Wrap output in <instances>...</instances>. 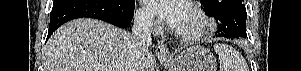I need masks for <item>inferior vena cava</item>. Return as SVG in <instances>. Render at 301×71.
Listing matches in <instances>:
<instances>
[{
  "label": "inferior vena cava",
  "mask_w": 301,
  "mask_h": 71,
  "mask_svg": "<svg viewBox=\"0 0 301 71\" xmlns=\"http://www.w3.org/2000/svg\"><path fill=\"white\" fill-rule=\"evenodd\" d=\"M152 15L148 13H138L134 17L132 34L138 41V46L143 50H148L152 44L151 37Z\"/></svg>",
  "instance_id": "1"
}]
</instances>
